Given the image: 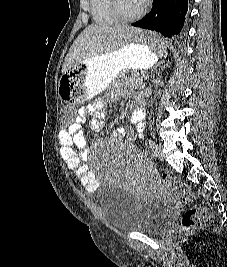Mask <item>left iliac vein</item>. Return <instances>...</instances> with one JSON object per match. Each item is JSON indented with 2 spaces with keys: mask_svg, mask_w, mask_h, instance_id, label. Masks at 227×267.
Wrapping results in <instances>:
<instances>
[{
  "mask_svg": "<svg viewBox=\"0 0 227 267\" xmlns=\"http://www.w3.org/2000/svg\"><path fill=\"white\" fill-rule=\"evenodd\" d=\"M153 156L157 159L162 161L164 159V155L162 152V147L159 144H155L153 148Z\"/></svg>",
  "mask_w": 227,
  "mask_h": 267,
  "instance_id": "4c4485c4",
  "label": "left iliac vein"
}]
</instances>
